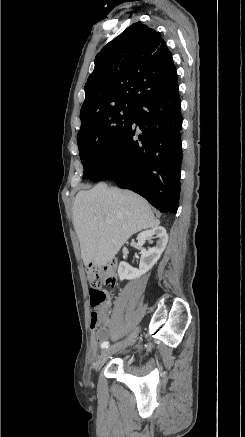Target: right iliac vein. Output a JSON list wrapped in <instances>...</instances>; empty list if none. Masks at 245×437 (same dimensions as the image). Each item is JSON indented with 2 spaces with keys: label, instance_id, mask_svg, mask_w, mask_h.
Instances as JSON below:
<instances>
[{
  "label": "right iliac vein",
  "instance_id": "1",
  "mask_svg": "<svg viewBox=\"0 0 245 437\" xmlns=\"http://www.w3.org/2000/svg\"><path fill=\"white\" fill-rule=\"evenodd\" d=\"M137 333H138V328H136L133 331V333L127 339H125L123 342L118 343L116 345H113L111 347H107L106 349H104L102 351V354H101V356L99 358V361L97 363L96 370L99 369V366L101 364H103L110 355H112L113 353H115V352H117L119 350H122V349H125L126 347H128L135 340V338L137 337Z\"/></svg>",
  "mask_w": 245,
  "mask_h": 437
}]
</instances>
